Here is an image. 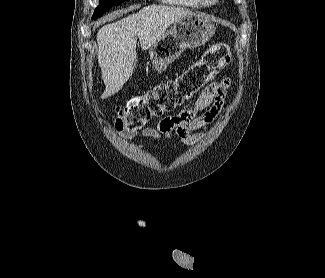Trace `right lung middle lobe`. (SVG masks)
<instances>
[{"instance_id":"dd1d6c3e","label":"right lung middle lobe","mask_w":325,"mask_h":278,"mask_svg":"<svg viewBox=\"0 0 325 278\" xmlns=\"http://www.w3.org/2000/svg\"><path fill=\"white\" fill-rule=\"evenodd\" d=\"M125 0H100V5L95 9L92 19H97L110 7L121 4Z\"/></svg>"}]
</instances>
